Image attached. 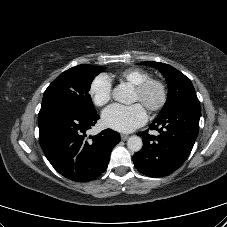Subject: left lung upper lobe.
Returning <instances> with one entry per match:
<instances>
[{
	"mask_svg": "<svg viewBox=\"0 0 227 227\" xmlns=\"http://www.w3.org/2000/svg\"><path fill=\"white\" fill-rule=\"evenodd\" d=\"M141 64L157 68L167 81L168 98L157 118L164 117L182 106L200 105L192 82L183 73L160 62L146 61Z\"/></svg>",
	"mask_w": 227,
	"mask_h": 227,
	"instance_id": "1",
	"label": "left lung upper lobe"
}]
</instances>
